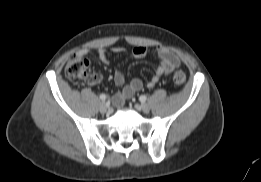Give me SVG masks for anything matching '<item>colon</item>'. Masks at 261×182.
Instances as JSON below:
<instances>
[{
  "label": "colon",
  "mask_w": 261,
  "mask_h": 182,
  "mask_svg": "<svg viewBox=\"0 0 261 182\" xmlns=\"http://www.w3.org/2000/svg\"><path fill=\"white\" fill-rule=\"evenodd\" d=\"M66 76L71 80L85 79L89 80V62L84 57L73 56L67 62L65 67ZM186 80L184 72L178 70L173 74V81L176 85H183Z\"/></svg>",
  "instance_id": "1"
}]
</instances>
